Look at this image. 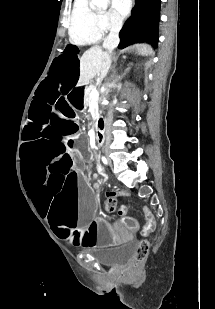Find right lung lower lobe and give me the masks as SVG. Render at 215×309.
Masks as SVG:
<instances>
[{
    "instance_id": "98d812e1",
    "label": "right lung lower lobe",
    "mask_w": 215,
    "mask_h": 309,
    "mask_svg": "<svg viewBox=\"0 0 215 309\" xmlns=\"http://www.w3.org/2000/svg\"><path fill=\"white\" fill-rule=\"evenodd\" d=\"M161 0H135L131 17L119 33V48L135 42L157 45Z\"/></svg>"
}]
</instances>
